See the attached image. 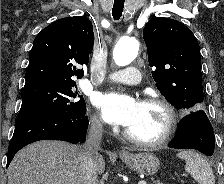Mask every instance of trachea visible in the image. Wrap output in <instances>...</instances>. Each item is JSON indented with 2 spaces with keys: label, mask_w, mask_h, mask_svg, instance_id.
<instances>
[{
  "label": "trachea",
  "mask_w": 224,
  "mask_h": 184,
  "mask_svg": "<svg viewBox=\"0 0 224 184\" xmlns=\"http://www.w3.org/2000/svg\"><path fill=\"white\" fill-rule=\"evenodd\" d=\"M124 9V0H114L112 15L115 20H119Z\"/></svg>",
  "instance_id": "1"
}]
</instances>
